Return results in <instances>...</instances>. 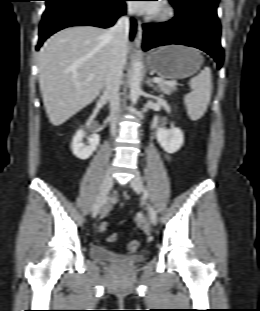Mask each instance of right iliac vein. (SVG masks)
<instances>
[{
  "label": "right iliac vein",
  "mask_w": 260,
  "mask_h": 311,
  "mask_svg": "<svg viewBox=\"0 0 260 311\" xmlns=\"http://www.w3.org/2000/svg\"><path fill=\"white\" fill-rule=\"evenodd\" d=\"M112 184H113L112 170L110 167H108L105 172L99 194L92 207V217H96L103 208L105 198L109 193Z\"/></svg>",
  "instance_id": "obj_1"
}]
</instances>
